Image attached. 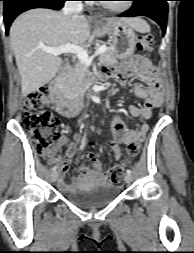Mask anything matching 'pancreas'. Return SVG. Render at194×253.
<instances>
[{
	"instance_id": "pancreas-1",
	"label": "pancreas",
	"mask_w": 194,
	"mask_h": 253,
	"mask_svg": "<svg viewBox=\"0 0 194 253\" xmlns=\"http://www.w3.org/2000/svg\"><path fill=\"white\" fill-rule=\"evenodd\" d=\"M101 63L106 65H114L117 63L115 51L113 48L108 47L104 53L99 57ZM91 73L87 69V66L81 61L77 62L72 69L66 75L65 78V91L70 97H77L82 93L88 83Z\"/></svg>"
}]
</instances>
